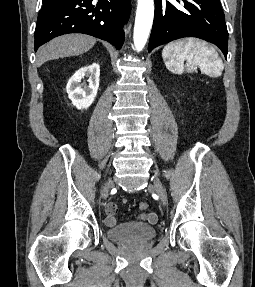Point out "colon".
Segmentation results:
<instances>
[{"label":"colon","instance_id":"obj_1","mask_svg":"<svg viewBox=\"0 0 255 287\" xmlns=\"http://www.w3.org/2000/svg\"><path fill=\"white\" fill-rule=\"evenodd\" d=\"M139 208L142 210V211H148L149 210V204L146 203V202H141L139 204Z\"/></svg>","mask_w":255,"mask_h":287}]
</instances>
